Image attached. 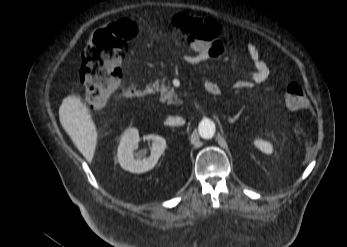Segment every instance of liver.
<instances>
[{
	"label": "liver",
	"instance_id": "liver-1",
	"mask_svg": "<svg viewBox=\"0 0 347 247\" xmlns=\"http://www.w3.org/2000/svg\"><path fill=\"white\" fill-rule=\"evenodd\" d=\"M60 122L88 162H91L97 145L98 133L89 109L80 97L69 95L59 109Z\"/></svg>",
	"mask_w": 347,
	"mask_h": 247
}]
</instances>
